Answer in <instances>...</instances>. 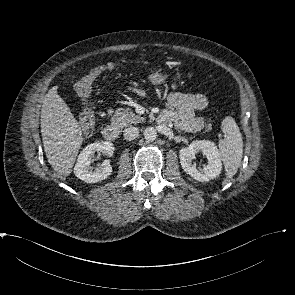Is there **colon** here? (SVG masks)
Segmentation results:
<instances>
[{
	"label": "colon",
	"instance_id": "colon-1",
	"mask_svg": "<svg viewBox=\"0 0 295 295\" xmlns=\"http://www.w3.org/2000/svg\"><path fill=\"white\" fill-rule=\"evenodd\" d=\"M111 64L100 66L98 69L92 71L84 80H83V94L89 95L92 90V84L98 73L110 69ZM80 125L84 133H89L93 131L95 127V115L91 109H85L80 117Z\"/></svg>",
	"mask_w": 295,
	"mask_h": 295
}]
</instances>
